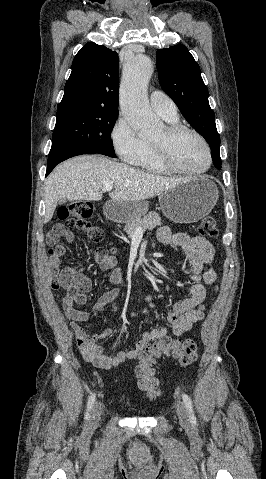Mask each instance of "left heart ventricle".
I'll use <instances>...</instances> for the list:
<instances>
[{"instance_id":"obj_1","label":"left heart ventricle","mask_w":266,"mask_h":479,"mask_svg":"<svg viewBox=\"0 0 266 479\" xmlns=\"http://www.w3.org/2000/svg\"><path fill=\"white\" fill-rule=\"evenodd\" d=\"M165 129H161L154 140L162 139ZM169 151L174 162L186 170H200L206 166L207 156L202 143L192 134L184 132L169 141Z\"/></svg>"}]
</instances>
